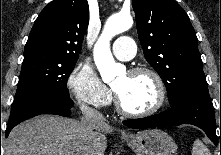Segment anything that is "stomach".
<instances>
[{
	"label": "stomach",
	"instance_id": "stomach-1",
	"mask_svg": "<svg viewBox=\"0 0 221 155\" xmlns=\"http://www.w3.org/2000/svg\"><path fill=\"white\" fill-rule=\"evenodd\" d=\"M124 139L136 155H177L174 140L159 129L139 131Z\"/></svg>",
	"mask_w": 221,
	"mask_h": 155
}]
</instances>
